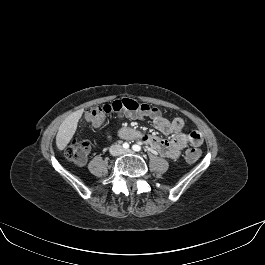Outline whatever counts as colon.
Returning a JSON list of instances; mask_svg holds the SVG:
<instances>
[{
	"label": "colon",
	"instance_id": "obj_1",
	"mask_svg": "<svg viewBox=\"0 0 265 265\" xmlns=\"http://www.w3.org/2000/svg\"><path fill=\"white\" fill-rule=\"evenodd\" d=\"M111 113L137 114L150 117L161 114L157 108L152 107L147 103L139 102L131 98H121L102 106L92 107L87 111L86 119L90 124L98 126L102 123L105 115ZM90 150L91 144L88 140L73 139L65 149V156L70 161L83 164L86 162ZM200 156L201 151L196 147L190 148L186 152V159L189 162L197 161Z\"/></svg>",
	"mask_w": 265,
	"mask_h": 265
}]
</instances>
